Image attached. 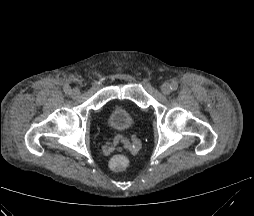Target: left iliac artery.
I'll use <instances>...</instances> for the list:
<instances>
[{
  "mask_svg": "<svg viewBox=\"0 0 254 216\" xmlns=\"http://www.w3.org/2000/svg\"><path fill=\"white\" fill-rule=\"evenodd\" d=\"M170 87H171V90H177L178 88L177 82H172Z\"/></svg>",
  "mask_w": 254,
  "mask_h": 216,
  "instance_id": "left-iliac-artery-1",
  "label": "left iliac artery"
}]
</instances>
